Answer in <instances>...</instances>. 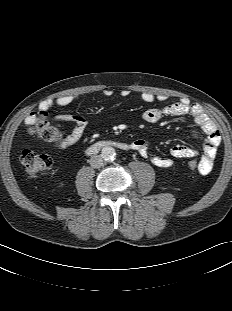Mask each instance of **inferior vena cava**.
I'll use <instances>...</instances> for the list:
<instances>
[{
	"label": "inferior vena cava",
	"instance_id": "obj_1",
	"mask_svg": "<svg viewBox=\"0 0 232 311\" xmlns=\"http://www.w3.org/2000/svg\"><path fill=\"white\" fill-rule=\"evenodd\" d=\"M91 167L100 168L103 165V158L100 155L92 156L89 160Z\"/></svg>",
	"mask_w": 232,
	"mask_h": 311
}]
</instances>
